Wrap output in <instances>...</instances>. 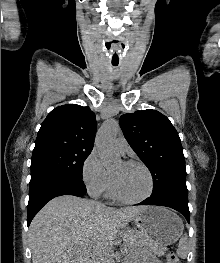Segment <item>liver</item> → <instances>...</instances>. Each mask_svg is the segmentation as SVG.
Masks as SVG:
<instances>
[{"mask_svg":"<svg viewBox=\"0 0 220 263\" xmlns=\"http://www.w3.org/2000/svg\"><path fill=\"white\" fill-rule=\"evenodd\" d=\"M145 208L113 209L76 196L56 197L30 224L32 263H94L109 250V241L120 229Z\"/></svg>","mask_w":220,"mask_h":263,"instance_id":"6515ba94","label":"liver"}]
</instances>
